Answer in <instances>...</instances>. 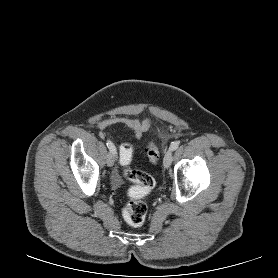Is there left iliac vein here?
<instances>
[{"label": "left iliac vein", "instance_id": "1", "mask_svg": "<svg viewBox=\"0 0 278 278\" xmlns=\"http://www.w3.org/2000/svg\"><path fill=\"white\" fill-rule=\"evenodd\" d=\"M173 153L172 150H168L163 159L164 168H169L172 163Z\"/></svg>", "mask_w": 278, "mask_h": 278}]
</instances>
